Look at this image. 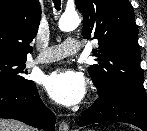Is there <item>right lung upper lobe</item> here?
<instances>
[{
    "label": "right lung upper lobe",
    "instance_id": "obj_1",
    "mask_svg": "<svg viewBox=\"0 0 147 131\" xmlns=\"http://www.w3.org/2000/svg\"><path fill=\"white\" fill-rule=\"evenodd\" d=\"M40 19L39 0H0V57L26 59Z\"/></svg>",
    "mask_w": 147,
    "mask_h": 131
}]
</instances>
